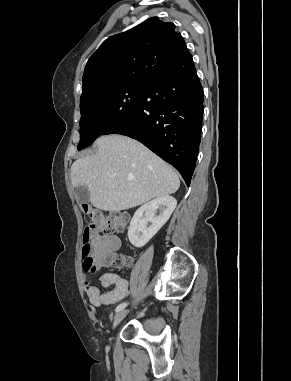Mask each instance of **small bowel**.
<instances>
[{
  "label": "small bowel",
  "mask_w": 291,
  "mask_h": 381,
  "mask_svg": "<svg viewBox=\"0 0 291 381\" xmlns=\"http://www.w3.org/2000/svg\"><path fill=\"white\" fill-rule=\"evenodd\" d=\"M93 243L98 247L99 254L104 251L115 252L120 247V238L116 235L93 236ZM103 290L96 286L91 280L85 281V292L94 306L114 304L125 298L128 292V281L126 278L114 272H106L99 277Z\"/></svg>",
  "instance_id": "obj_1"
}]
</instances>
